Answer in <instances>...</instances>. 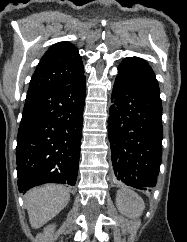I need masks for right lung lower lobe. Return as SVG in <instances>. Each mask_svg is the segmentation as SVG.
I'll list each match as a JSON object with an SVG mask.
<instances>
[{
  "mask_svg": "<svg viewBox=\"0 0 187 242\" xmlns=\"http://www.w3.org/2000/svg\"><path fill=\"white\" fill-rule=\"evenodd\" d=\"M86 78L27 95L17 136L20 192L44 183L75 185Z\"/></svg>",
  "mask_w": 187,
  "mask_h": 242,
  "instance_id": "98d812e1",
  "label": "right lung lower lobe"
}]
</instances>
